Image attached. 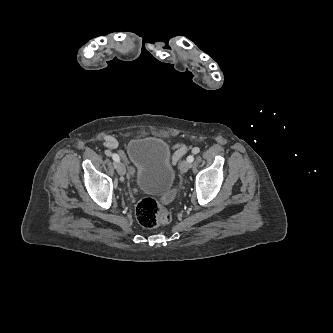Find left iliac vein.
Returning a JSON list of instances; mask_svg holds the SVG:
<instances>
[{
	"mask_svg": "<svg viewBox=\"0 0 333 333\" xmlns=\"http://www.w3.org/2000/svg\"><path fill=\"white\" fill-rule=\"evenodd\" d=\"M190 167H191L190 162H188L186 160L182 161V163L180 165L181 172L186 173Z\"/></svg>",
	"mask_w": 333,
	"mask_h": 333,
	"instance_id": "left-iliac-vein-1",
	"label": "left iliac vein"
}]
</instances>
